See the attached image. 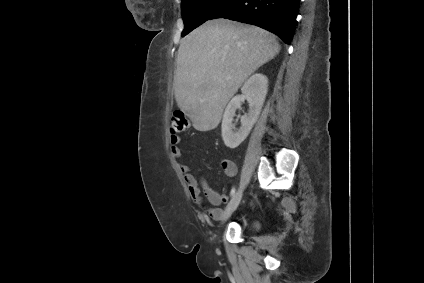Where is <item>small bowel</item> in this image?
Segmentation results:
<instances>
[{
	"mask_svg": "<svg viewBox=\"0 0 424 283\" xmlns=\"http://www.w3.org/2000/svg\"><path fill=\"white\" fill-rule=\"evenodd\" d=\"M181 141V136H171V152L176 158L181 157V150L179 148ZM221 166L226 176L233 178L237 174V166L233 161L222 159ZM179 167L194 202L198 205H202L204 196L214 206L213 208L206 209V213L213 220L217 221L222 219L224 211L219 206L221 203H225L228 200V196L216 191L204 177L197 178L188 165L180 164Z\"/></svg>",
	"mask_w": 424,
	"mask_h": 283,
	"instance_id": "obj_1",
	"label": "small bowel"
}]
</instances>
